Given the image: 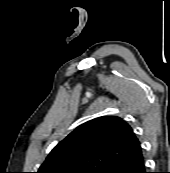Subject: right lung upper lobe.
<instances>
[{"mask_svg": "<svg viewBox=\"0 0 170 173\" xmlns=\"http://www.w3.org/2000/svg\"><path fill=\"white\" fill-rule=\"evenodd\" d=\"M140 150L128 123L117 116H103L80 125L59 142L37 173H102Z\"/></svg>", "mask_w": 170, "mask_h": 173, "instance_id": "1", "label": "right lung upper lobe"}]
</instances>
